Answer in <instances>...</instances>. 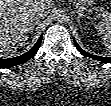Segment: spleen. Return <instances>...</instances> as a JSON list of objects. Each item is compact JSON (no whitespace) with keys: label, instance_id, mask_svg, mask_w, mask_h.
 Instances as JSON below:
<instances>
[{"label":"spleen","instance_id":"spleen-1","mask_svg":"<svg viewBox=\"0 0 111 106\" xmlns=\"http://www.w3.org/2000/svg\"><path fill=\"white\" fill-rule=\"evenodd\" d=\"M96 30L105 43L106 51L111 55V18L97 23Z\"/></svg>","mask_w":111,"mask_h":106}]
</instances>
